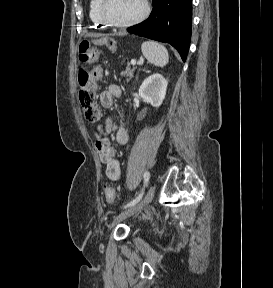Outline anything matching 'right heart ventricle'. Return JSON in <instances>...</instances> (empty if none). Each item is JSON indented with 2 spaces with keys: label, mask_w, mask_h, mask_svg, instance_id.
<instances>
[{
  "label": "right heart ventricle",
  "mask_w": 273,
  "mask_h": 288,
  "mask_svg": "<svg viewBox=\"0 0 273 288\" xmlns=\"http://www.w3.org/2000/svg\"><path fill=\"white\" fill-rule=\"evenodd\" d=\"M100 0H91L89 5V16L96 26L105 27L106 24L101 20L98 12Z\"/></svg>",
  "instance_id": "e07e8e85"
}]
</instances>
